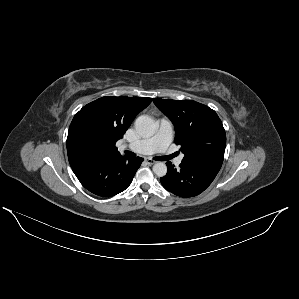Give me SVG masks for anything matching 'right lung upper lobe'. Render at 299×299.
<instances>
[{
    "label": "right lung upper lobe",
    "instance_id": "obj_1",
    "mask_svg": "<svg viewBox=\"0 0 299 299\" xmlns=\"http://www.w3.org/2000/svg\"><path fill=\"white\" fill-rule=\"evenodd\" d=\"M151 101L147 97L106 96L84 106L69 127L67 153L71 167L95 158L120 156L116 142Z\"/></svg>",
    "mask_w": 299,
    "mask_h": 299
}]
</instances>
